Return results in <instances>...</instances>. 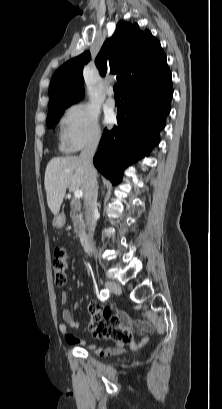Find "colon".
I'll return each mask as SVG.
<instances>
[{
  "label": "colon",
  "instance_id": "1",
  "mask_svg": "<svg viewBox=\"0 0 222 409\" xmlns=\"http://www.w3.org/2000/svg\"><path fill=\"white\" fill-rule=\"evenodd\" d=\"M69 255L67 251L59 247L55 252L52 264L54 283L57 287H63L67 280ZM114 310L110 307L92 306L90 330L96 338H109L117 343H126L129 334L120 327L119 321L113 318Z\"/></svg>",
  "mask_w": 222,
  "mask_h": 409
}]
</instances>
